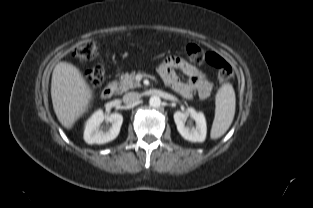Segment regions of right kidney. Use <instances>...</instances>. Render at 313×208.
<instances>
[{
    "instance_id": "right-kidney-1",
    "label": "right kidney",
    "mask_w": 313,
    "mask_h": 208,
    "mask_svg": "<svg viewBox=\"0 0 313 208\" xmlns=\"http://www.w3.org/2000/svg\"><path fill=\"white\" fill-rule=\"evenodd\" d=\"M111 126L101 128L103 121ZM123 122V116L119 113L104 115L102 110H97L86 122L84 130V140L88 144H104L114 140Z\"/></svg>"
}]
</instances>
